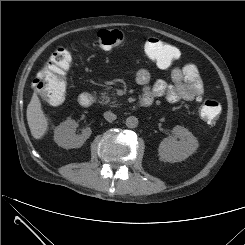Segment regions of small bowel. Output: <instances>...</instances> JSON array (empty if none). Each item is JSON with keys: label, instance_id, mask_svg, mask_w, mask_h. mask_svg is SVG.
Segmentation results:
<instances>
[{"label": "small bowel", "instance_id": "small-bowel-1", "mask_svg": "<svg viewBox=\"0 0 245 245\" xmlns=\"http://www.w3.org/2000/svg\"><path fill=\"white\" fill-rule=\"evenodd\" d=\"M171 80V83L158 80L152 84L150 72L146 68H140L136 73V81L142 87V98H150L152 102L156 98H164L170 103L201 99L203 82L195 65L172 68Z\"/></svg>", "mask_w": 245, "mask_h": 245}]
</instances>
